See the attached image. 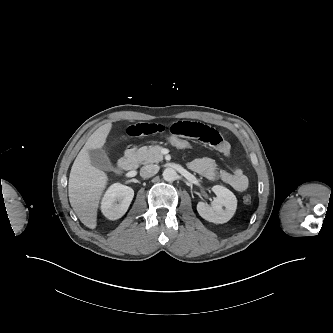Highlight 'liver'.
I'll list each match as a JSON object with an SVG mask.
<instances>
[{"label":"liver","mask_w":333,"mask_h":333,"mask_svg":"<svg viewBox=\"0 0 333 333\" xmlns=\"http://www.w3.org/2000/svg\"><path fill=\"white\" fill-rule=\"evenodd\" d=\"M111 128V123L104 124L88 138L69 175L70 204L80 221L91 229L97 226L99 201L106 188L108 176L91 164L89 150L103 148Z\"/></svg>","instance_id":"6515ba94"}]
</instances>
